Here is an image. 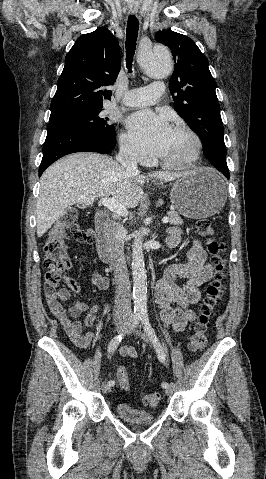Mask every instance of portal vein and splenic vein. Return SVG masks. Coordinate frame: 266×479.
<instances>
[{
    "label": "portal vein and splenic vein",
    "instance_id": "obj_1",
    "mask_svg": "<svg viewBox=\"0 0 266 479\" xmlns=\"http://www.w3.org/2000/svg\"><path fill=\"white\" fill-rule=\"evenodd\" d=\"M100 204H102L103 206L107 207L109 210H111L112 212H114V213H116L120 216L126 217L129 214L127 208L125 206H123L122 204L118 203L113 197H111V198H107V197L101 198L100 199ZM168 221H169V217H164L162 219L163 223H167Z\"/></svg>",
    "mask_w": 266,
    "mask_h": 479
}]
</instances>
